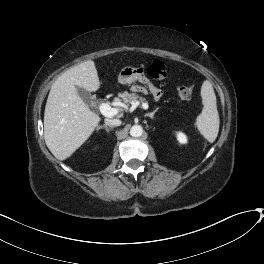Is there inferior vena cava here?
Wrapping results in <instances>:
<instances>
[{
    "label": "inferior vena cava",
    "instance_id": "inferior-vena-cava-1",
    "mask_svg": "<svg viewBox=\"0 0 264 264\" xmlns=\"http://www.w3.org/2000/svg\"><path fill=\"white\" fill-rule=\"evenodd\" d=\"M105 124L110 126V127H114V126H120L121 125V120L119 119H105Z\"/></svg>",
    "mask_w": 264,
    "mask_h": 264
}]
</instances>
